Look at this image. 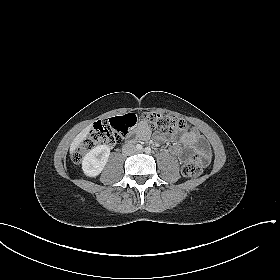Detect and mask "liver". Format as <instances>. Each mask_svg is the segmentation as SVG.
<instances>
[{"mask_svg": "<svg viewBox=\"0 0 280 280\" xmlns=\"http://www.w3.org/2000/svg\"><path fill=\"white\" fill-rule=\"evenodd\" d=\"M92 129V126L89 125L85 129H83L73 140L71 144V152H74V150L80 145L81 142L88 136L89 131Z\"/></svg>", "mask_w": 280, "mask_h": 280, "instance_id": "6515ba94", "label": "liver"}]
</instances>
